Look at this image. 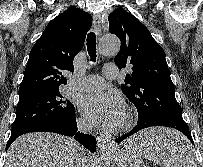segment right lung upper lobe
<instances>
[{"mask_svg":"<svg viewBox=\"0 0 203 167\" xmlns=\"http://www.w3.org/2000/svg\"><path fill=\"white\" fill-rule=\"evenodd\" d=\"M92 16L71 7L49 22L32 47L19 87V102L59 90L74 71L73 59L82 49ZM18 102V103H19Z\"/></svg>","mask_w":203,"mask_h":167,"instance_id":"cb5924a9","label":"right lung upper lobe"}]
</instances>
